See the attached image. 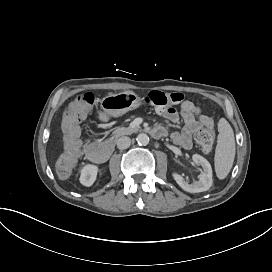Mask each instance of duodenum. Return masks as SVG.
<instances>
[{"mask_svg": "<svg viewBox=\"0 0 272 272\" xmlns=\"http://www.w3.org/2000/svg\"><path fill=\"white\" fill-rule=\"evenodd\" d=\"M104 117V116H103ZM154 138H161L164 132L159 128H154L149 132ZM114 150L112 140H107L101 143H92L86 148L87 158L95 163H103L109 159Z\"/></svg>", "mask_w": 272, "mask_h": 272, "instance_id": "duodenum-1", "label": "duodenum"}]
</instances>
